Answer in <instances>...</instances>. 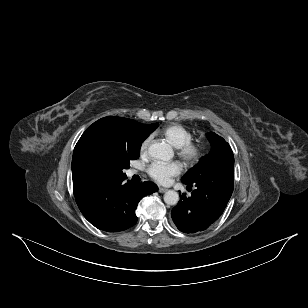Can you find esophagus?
Returning <instances> with one entry per match:
<instances>
[{
  "instance_id": "obj_1",
  "label": "esophagus",
  "mask_w": 308,
  "mask_h": 308,
  "mask_svg": "<svg viewBox=\"0 0 308 308\" xmlns=\"http://www.w3.org/2000/svg\"><path fill=\"white\" fill-rule=\"evenodd\" d=\"M168 189L167 188H164V187H159L158 188V191H159V193H164V192H166Z\"/></svg>"
}]
</instances>
